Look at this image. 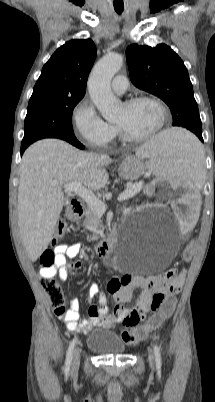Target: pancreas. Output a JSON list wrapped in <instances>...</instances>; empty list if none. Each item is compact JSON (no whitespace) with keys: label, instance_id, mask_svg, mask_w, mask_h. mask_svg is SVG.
<instances>
[{"label":"pancreas","instance_id":"cf45deb5","mask_svg":"<svg viewBox=\"0 0 215 402\" xmlns=\"http://www.w3.org/2000/svg\"><path fill=\"white\" fill-rule=\"evenodd\" d=\"M139 183H134L131 187L137 186ZM100 215L95 213L92 209L87 207L86 212H85V219L83 222V226L93 232L92 237H87L89 241H94L99 238L100 230L99 228L102 227L101 221H100Z\"/></svg>","mask_w":215,"mask_h":402}]
</instances>
